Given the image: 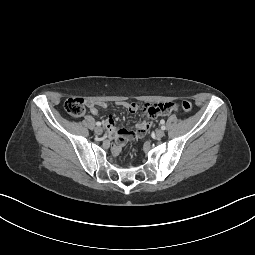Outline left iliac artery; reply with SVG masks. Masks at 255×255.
I'll return each instance as SVG.
<instances>
[{"label":"left iliac artery","instance_id":"44dca946","mask_svg":"<svg viewBox=\"0 0 255 255\" xmlns=\"http://www.w3.org/2000/svg\"><path fill=\"white\" fill-rule=\"evenodd\" d=\"M161 128H162V130H165V129H166V127H165L164 125H163Z\"/></svg>","mask_w":255,"mask_h":255}]
</instances>
